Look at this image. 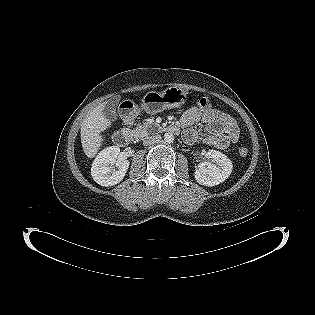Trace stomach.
Returning <instances> with one entry per match:
<instances>
[{
	"instance_id": "0dacf381",
	"label": "stomach",
	"mask_w": 315,
	"mask_h": 315,
	"mask_svg": "<svg viewBox=\"0 0 315 315\" xmlns=\"http://www.w3.org/2000/svg\"><path fill=\"white\" fill-rule=\"evenodd\" d=\"M187 93L178 87H169L162 92H150L144 101H125L117 109L118 117L125 122L141 120L146 111L154 114L166 108H176L186 101Z\"/></svg>"
}]
</instances>
